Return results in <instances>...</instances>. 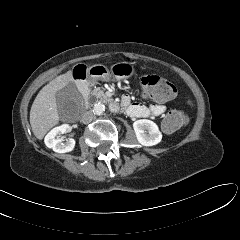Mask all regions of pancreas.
Listing matches in <instances>:
<instances>
[{
  "mask_svg": "<svg viewBox=\"0 0 240 240\" xmlns=\"http://www.w3.org/2000/svg\"><path fill=\"white\" fill-rule=\"evenodd\" d=\"M91 95L102 101H109L108 97L100 87L94 88V90L91 92ZM88 102L90 103V100H88Z\"/></svg>",
  "mask_w": 240,
  "mask_h": 240,
  "instance_id": "obj_1",
  "label": "pancreas"
}]
</instances>
